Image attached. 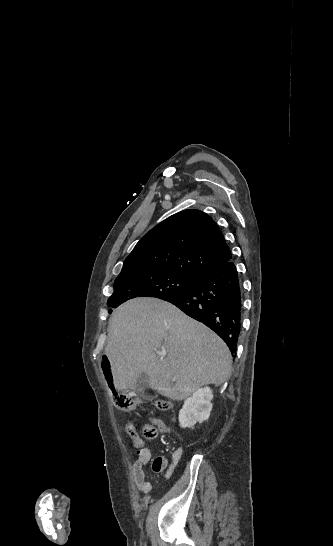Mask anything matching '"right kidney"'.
<instances>
[{
	"label": "right kidney",
	"instance_id": "right-kidney-1",
	"mask_svg": "<svg viewBox=\"0 0 333 546\" xmlns=\"http://www.w3.org/2000/svg\"><path fill=\"white\" fill-rule=\"evenodd\" d=\"M212 390L209 387L200 388L192 397L185 400L179 412V423L182 428H193L197 422L208 419L212 410Z\"/></svg>",
	"mask_w": 333,
	"mask_h": 546
}]
</instances>
